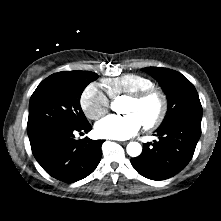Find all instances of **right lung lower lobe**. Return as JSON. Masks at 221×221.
<instances>
[{
	"instance_id": "98d812e1",
	"label": "right lung lower lobe",
	"mask_w": 221,
	"mask_h": 221,
	"mask_svg": "<svg viewBox=\"0 0 221 221\" xmlns=\"http://www.w3.org/2000/svg\"><path fill=\"white\" fill-rule=\"evenodd\" d=\"M91 129L89 123L47 125L28 135L32 153L52 177L66 183L79 181L94 171L102 156L103 140L74 139L76 131Z\"/></svg>"
}]
</instances>
